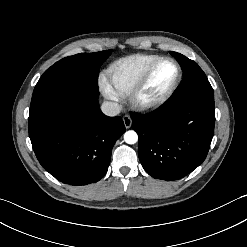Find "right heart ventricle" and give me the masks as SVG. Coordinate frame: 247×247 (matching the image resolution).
Listing matches in <instances>:
<instances>
[{"label": "right heart ventricle", "mask_w": 247, "mask_h": 247, "mask_svg": "<svg viewBox=\"0 0 247 247\" xmlns=\"http://www.w3.org/2000/svg\"><path fill=\"white\" fill-rule=\"evenodd\" d=\"M161 56L133 54L118 59L107 69L108 82L118 95H127L144 71Z\"/></svg>", "instance_id": "right-heart-ventricle-1"}]
</instances>
